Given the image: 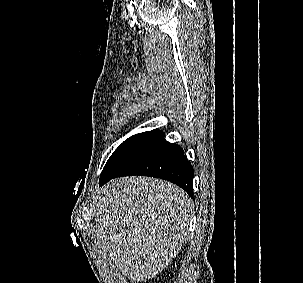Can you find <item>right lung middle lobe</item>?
<instances>
[{"label":"right lung middle lobe","instance_id":"dd1d6c3e","mask_svg":"<svg viewBox=\"0 0 303 283\" xmlns=\"http://www.w3.org/2000/svg\"><path fill=\"white\" fill-rule=\"evenodd\" d=\"M143 133H139L133 135L126 139L110 156L109 160L107 161L106 165L103 168L101 176L106 174L110 171L113 166L121 159L124 153L136 142V140L142 135Z\"/></svg>","mask_w":303,"mask_h":283}]
</instances>
